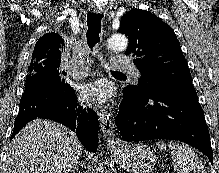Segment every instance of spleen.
<instances>
[{
  "mask_svg": "<svg viewBox=\"0 0 219 173\" xmlns=\"http://www.w3.org/2000/svg\"><path fill=\"white\" fill-rule=\"evenodd\" d=\"M156 145L161 150H166L167 146L169 147L173 166L177 173H207L204 165L191 148L174 141H170L168 144L164 143V141H158Z\"/></svg>",
  "mask_w": 219,
  "mask_h": 173,
  "instance_id": "1",
  "label": "spleen"
}]
</instances>
